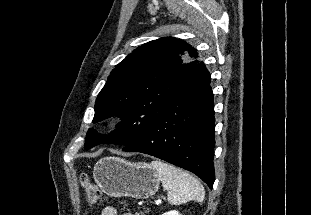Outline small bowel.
Returning <instances> with one entry per match:
<instances>
[{"instance_id": "obj_1", "label": "small bowel", "mask_w": 311, "mask_h": 215, "mask_svg": "<svg viewBox=\"0 0 311 215\" xmlns=\"http://www.w3.org/2000/svg\"><path fill=\"white\" fill-rule=\"evenodd\" d=\"M101 215H118V213H117V210L114 207L108 206V207H105L102 210ZM123 215H133V214L125 213Z\"/></svg>"}]
</instances>
